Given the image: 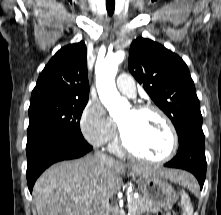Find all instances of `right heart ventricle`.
Instances as JSON below:
<instances>
[{
    "label": "right heart ventricle",
    "mask_w": 221,
    "mask_h": 215,
    "mask_svg": "<svg viewBox=\"0 0 221 215\" xmlns=\"http://www.w3.org/2000/svg\"><path fill=\"white\" fill-rule=\"evenodd\" d=\"M110 149L113 151V152H116V153H120V148H119V145L116 141L112 142L111 145H110Z\"/></svg>",
    "instance_id": "1"
}]
</instances>
